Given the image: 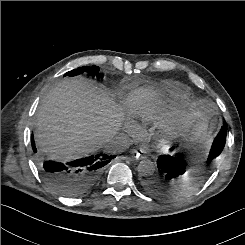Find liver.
<instances>
[{"mask_svg":"<svg viewBox=\"0 0 245 245\" xmlns=\"http://www.w3.org/2000/svg\"><path fill=\"white\" fill-rule=\"evenodd\" d=\"M156 92L134 90L126 99L130 111L145 115L167 137L178 134L202 108L193 104L167 110L152 105ZM122 108L101 89L83 78H67L44 97L36 119L35 137L40 150L54 160L68 161L98 149L117 133Z\"/></svg>","mask_w":245,"mask_h":245,"instance_id":"liver-1","label":"liver"}]
</instances>
